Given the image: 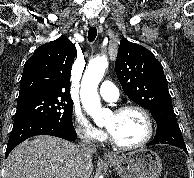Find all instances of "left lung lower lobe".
Here are the masks:
<instances>
[{
    "label": "left lung lower lobe",
    "mask_w": 194,
    "mask_h": 178,
    "mask_svg": "<svg viewBox=\"0 0 194 178\" xmlns=\"http://www.w3.org/2000/svg\"><path fill=\"white\" fill-rule=\"evenodd\" d=\"M159 143L179 147L188 154L176 117L165 118L157 122L155 138L147 145Z\"/></svg>",
    "instance_id": "obj_1"
}]
</instances>
